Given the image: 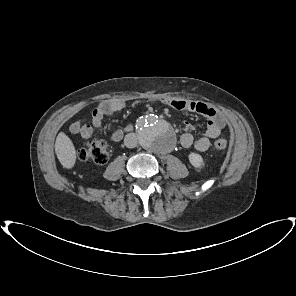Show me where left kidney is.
I'll use <instances>...</instances> for the list:
<instances>
[{
	"label": "left kidney",
	"instance_id": "1",
	"mask_svg": "<svg viewBox=\"0 0 296 296\" xmlns=\"http://www.w3.org/2000/svg\"><path fill=\"white\" fill-rule=\"evenodd\" d=\"M189 162L194 166L195 168L202 169L204 168V161L200 154L198 153H190L189 156Z\"/></svg>",
	"mask_w": 296,
	"mask_h": 296
}]
</instances>
